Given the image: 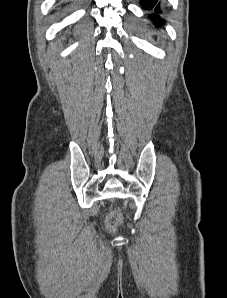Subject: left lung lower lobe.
I'll return each mask as SVG.
<instances>
[{
	"instance_id": "left-lung-lower-lobe-1",
	"label": "left lung lower lobe",
	"mask_w": 227,
	"mask_h": 298,
	"mask_svg": "<svg viewBox=\"0 0 227 298\" xmlns=\"http://www.w3.org/2000/svg\"><path fill=\"white\" fill-rule=\"evenodd\" d=\"M158 1L159 0H141V3H142V6L144 9L150 10V9L155 8V12L159 13V6H155ZM151 17H153L155 19V22L157 24L162 23V20L160 19V17L157 14H154V15L152 14Z\"/></svg>"
}]
</instances>
